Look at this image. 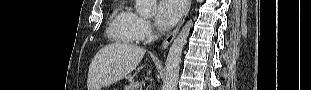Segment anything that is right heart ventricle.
<instances>
[{
  "mask_svg": "<svg viewBox=\"0 0 311 90\" xmlns=\"http://www.w3.org/2000/svg\"><path fill=\"white\" fill-rule=\"evenodd\" d=\"M136 14L125 6L116 7L111 15L108 34L116 41L132 44L139 40L135 27Z\"/></svg>",
  "mask_w": 311,
  "mask_h": 90,
  "instance_id": "right-heart-ventricle-1",
  "label": "right heart ventricle"
}]
</instances>
